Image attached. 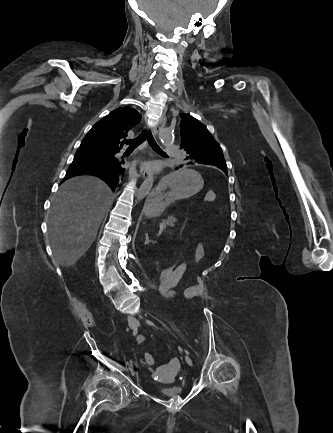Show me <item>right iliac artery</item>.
Wrapping results in <instances>:
<instances>
[{
	"mask_svg": "<svg viewBox=\"0 0 333 433\" xmlns=\"http://www.w3.org/2000/svg\"><path fill=\"white\" fill-rule=\"evenodd\" d=\"M137 332H138L137 328H134V330H133V336H136ZM126 365H129V362H126Z\"/></svg>",
	"mask_w": 333,
	"mask_h": 433,
	"instance_id": "82829eb1",
	"label": "right iliac artery"
}]
</instances>
